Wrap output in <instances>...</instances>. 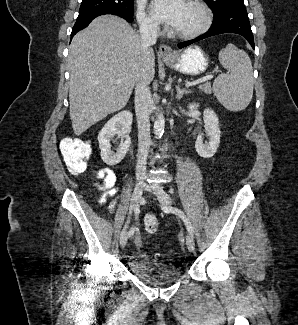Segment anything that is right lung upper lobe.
Listing matches in <instances>:
<instances>
[{"instance_id": "right-lung-upper-lobe-1", "label": "right lung upper lobe", "mask_w": 298, "mask_h": 325, "mask_svg": "<svg viewBox=\"0 0 298 325\" xmlns=\"http://www.w3.org/2000/svg\"><path fill=\"white\" fill-rule=\"evenodd\" d=\"M107 12L117 13V12H114V11H107Z\"/></svg>"}]
</instances>
